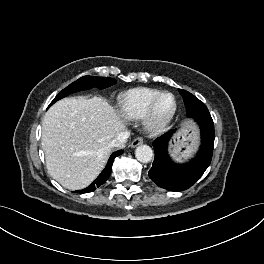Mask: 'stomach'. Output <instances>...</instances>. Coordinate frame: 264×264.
Instances as JSON below:
<instances>
[{"mask_svg": "<svg viewBox=\"0 0 264 264\" xmlns=\"http://www.w3.org/2000/svg\"><path fill=\"white\" fill-rule=\"evenodd\" d=\"M198 145L199 134L196 126L186 122L170 142V156L175 162L182 163L196 152Z\"/></svg>", "mask_w": 264, "mask_h": 264, "instance_id": "stomach-1", "label": "stomach"}]
</instances>
